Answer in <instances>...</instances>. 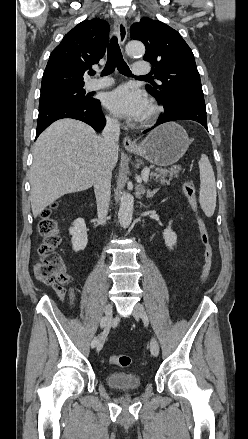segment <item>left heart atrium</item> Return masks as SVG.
<instances>
[{
    "label": "left heart atrium",
    "instance_id": "left-heart-atrium-1",
    "mask_svg": "<svg viewBox=\"0 0 248 439\" xmlns=\"http://www.w3.org/2000/svg\"><path fill=\"white\" fill-rule=\"evenodd\" d=\"M104 105L114 114L134 121L143 119L149 109L146 96L128 85L107 93L104 97Z\"/></svg>",
    "mask_w": 248,
    "mask_h": 439
}]
</instances>
